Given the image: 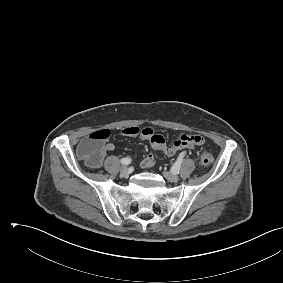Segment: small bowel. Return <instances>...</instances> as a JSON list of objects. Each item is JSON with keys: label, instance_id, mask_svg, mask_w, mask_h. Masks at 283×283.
<instances>
[{"label": "small bowel", "instance_id": "obj_1", "mask_svg": "<svg viewBox=\"0 0 283 283\" xmlns=\"http://www.w3.org/2000/svg\"><path fill=\"white\" fill-rule=\"evenodd\" d=\"M123 136L128 137H141L142 139L148 140L151 144L153 151H159L166 156H173L181 150H191L196 146H200L205 143V138L201 135H181L179 138L171 145L167 146L165 139L162 135L156 134L151 128H138V127H125L121 130ZM114 150V145L112 143H106L103 146V151L110 152ZM155 159L154 153L151 152L145 156L142 160L141 165L143 168H151L154 166Z\"/></svg>", "mask_w": 283, "mask_h": 283}]
</instances>
